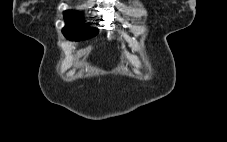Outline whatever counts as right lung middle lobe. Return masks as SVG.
Wrapping results in <instances>:
<instances>
[{"mask_svg": "<svg viewBox=\"0 0 227 142\" xmlns=\"http://www.w3.org/2000/svg\"><path fill=\"white\" fill-rule=\"evenodd\" d=\"M64 19L66 26L62 29L64 36L70 40H85L97 34V30L88 27L83 23L80 13L75 11H65Z\"/></svg>", "mask_w": 227, "mask_h": 142, "instance_id": "obj_1", "label": "right lung middle lobe"}]
</instances>
